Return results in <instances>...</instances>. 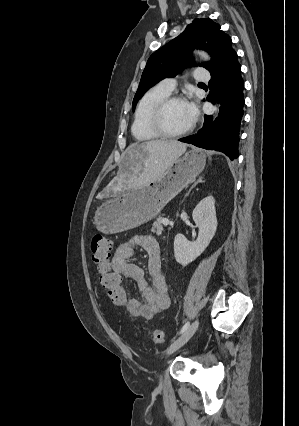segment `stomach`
I'll list each match as a JSON object with an SVG mask.
<instances>
[{"label": "stomach", "instance_id": "stomach-1", "mask_svg": "<svg viewBox=\"0 0 299 426\" xmlns=\"http://www.w3.org/2000/svg\"><path fill=\"white\" fill-rule=\"evenodd\" d=\"M205 154L191 149L178 157L157 180L135 186L97 208L94 225L104 234L136 228L155 218L165 205L204 169Z\"/></svg>", "mask_w": 299, "mask_h": 426}]
</instances>
